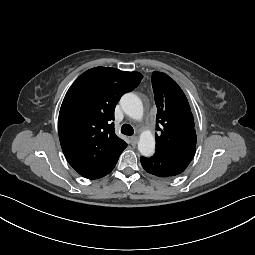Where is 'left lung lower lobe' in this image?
Here are the masks:
<instances>
[{"label": "left lung lower lobe", "instance_id": "0a47b994", "mask_svg": "<svg viewBox=\"0 0 255 255\" xmlns=\"http://www.w3.org/2000/svg\"><path fill=\"white\" fill-rule=\"evenodd\" d=\"M194 154L195 149L159 151L152 157H141V164L145 171L152 175L160 178H172L187 168Z\"/></svg>", "mask_w": 255, "mask_h": 255}]
</instances>
